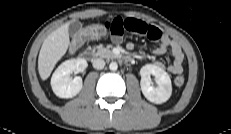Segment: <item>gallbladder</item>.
Listing matches in <instances>:
<instances>
[{
    "instance_id": "bac80fb5",
    "label": "gallbladder",
    "mask_w": 231,
    "mask_h": 134,
    "mask_svg": "<svg viewBox=\"0 0 231 134\" xmlns=\"http://www.w3.org/2000/svg\"><path fill=\"white\" fill-rule=\"evenodd\" d=\"M81 27H82V24L80 22L73 21L70 23L68 31L71 35H74L81 29Z\"/></svg>"
}]
</instances>
